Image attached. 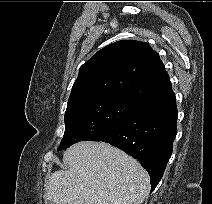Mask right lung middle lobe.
<instances>
[{
  "instance_id": "dd1d6c3e",
  "label": "right lung middle lobe",
  "mask_w": 212,
  "mask_h": 204,
  "mask_svg": "<svg viewBox=\"0 0 212 204\" xmlns=\"http://www.w3.org/2000/svg\"><path fill=\"white\" fill-rule=\"evenodd\" d=\"M141 103L122 97H103L67 107L65 133L58 151L79 141L101 137L127 119Z\"/></svg>"
}]
</instances>
